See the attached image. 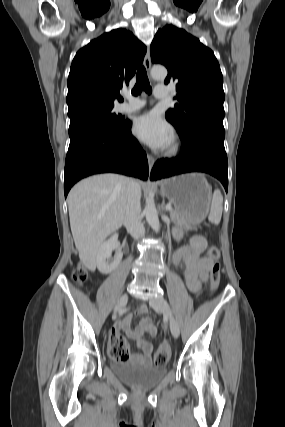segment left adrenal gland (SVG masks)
<instances>
[{"mask_svg": "<svg viewBox=\"0 0 285 427\" xmlns=\"http://www.w3.org/2000/svg\"><path fill=\"white\" fill-rule=\"evenodd\" d=\"M164 204H165V202H164V200H163V202H162V209L164 210Z\"/></svg>", "mask_w": 285, "mask_h": 427, "instance_id": "obj_1", "label": "left adrenal gland"}]
</instances>
